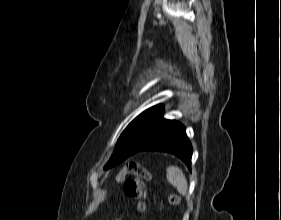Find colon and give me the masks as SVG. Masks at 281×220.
I'll return each mask as SVG.
<instances>
[{
    "mask_svg": "<svg viewBox=\"0 0 281 220\" xmlns=\"http://www.w3.org/2000/svg\"><path fill=\"white\" fill-rule=\"evenodd\" d=\"M118 182L123 184L124 193L127 197L136 201L137 209L140 213L146 212L147 189L146 184L150 182L151 175L142 165L131 162L126 164L117 175ZM168 201L177 205L180 203V197L176 194H170Z\"/></svg>",
    "mask_w": 281,
    "mask_h": 220,
    "instance_id": "1",
    "label": "colon"
}]
</instances>
